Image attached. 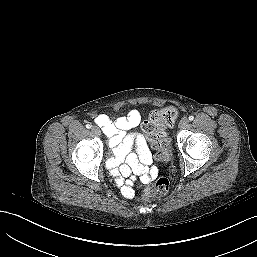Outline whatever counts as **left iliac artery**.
<instances>
[{"label": "left iliac artery", "mask_w": 257, "mask_h": 257, "mask_svg": "<svg viewBox=\"0 0 257 257\" xmlns=\"http://www.w3.org/2000/svg\"><path fill=\"white\" fill-rule=\"evenodd\" d=\"M194 119L193 116H189V120L192 121Z\"/></svg>", "instance_id": "obj_1"}]
</instances>
